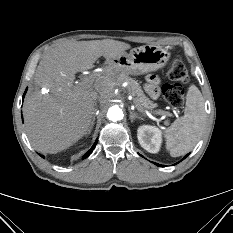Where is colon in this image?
<instances>
[{
  "label": "colon",
  "instance_id": "colon-1",
  "mask_svg": "<svg viewBox=\"0 0 233 233\" xmlns=\"http://www.w3.org/2000/svg\"><path fill=\"white\" fill-rule=\"evenodd\" d=\"M166 75L172 82L162 86V95L170 105L180 106L183 103L185 93L183 84L189 80L187 69L183 62L179 60L173 61L168 64Z\"/></svg>",
  "mask_w": 233,
  "mask_h": 233
}]
</instances>
